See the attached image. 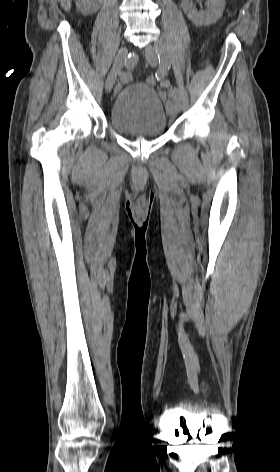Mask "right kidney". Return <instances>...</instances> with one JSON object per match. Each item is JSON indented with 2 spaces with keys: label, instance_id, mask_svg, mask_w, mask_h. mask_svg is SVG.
Segmentation results:
<instances>
[{
  "label": "right kidney",
  "instance_id": "right-kidney-1",
  "mask_svg": "<svg viewBox=\"0 0 280 472\" xmlns=\"http://www.w3.org/2000/svg\"><path fill=\"white\" fill-rule=\"evenodd\" d=\"M78 10L84 15L95 13L101 6L102 0H76Z\"/></svg>",
  "mask_w": 280,
  "mask_h": 472
}]
</instances>
